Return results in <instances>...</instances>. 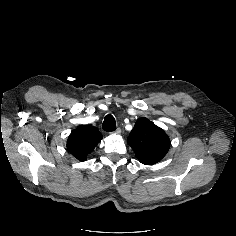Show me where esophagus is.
<instances>
[{
	"label": "esophagus",
	"instance_id": "1",
	"mask_svg": "<svg viewBox=\"0 0 236 236\" xmlns=\"http://www.w3.org/2000/svg\"><path fill=\"white\" fill-rule=\"evenodd\" d=\"M112 134H121V129L117 128L115 131L112 132Z\"/></svg>",
	"mask_w": 236,
	"mask_h": 236
}]
</instances>
